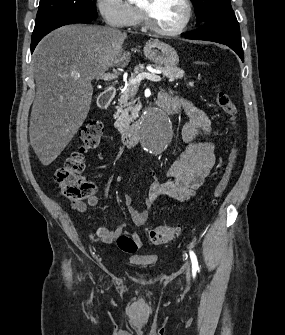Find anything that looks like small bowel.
<instances>
[{"instance_id":"c3829d8e","label":"small bowel","mask_w":285,"mask_h":335,"mask_svg":"<svg viewBox=\"0 0 285 335\" xmlns=\"http://www.w3.org/2000/svg\"><path fill=\"white\" fill-rule=\"evenodd\" d=\"M161 100H170L176 110L183 107L189 118V122L181 129V137L187 144L186 149L171 163L166 171L168 180L160 183L154 174L150 175L144 208L139 210L132 206V198L125 195L124 201L133 223L137 227L144 226L149 218V212L155 203L162 197L185 201L190 199L203 185L215 164L214 146L205 137L211 129V121L207 114L195 106L191 101L175 95L171 92H162ZM109 183V182H108ZM108 195V184L104 189L103 197ZM98 203L96 197H90L87 203L72 201L73 210L84 213L87 206H95ZM124 225L115 229L101 226L96 229V235L103 243L110 244L124 233ZM139 246L142 245V237L138 231L132 234Z\"/></svg>"}]
</instances>
